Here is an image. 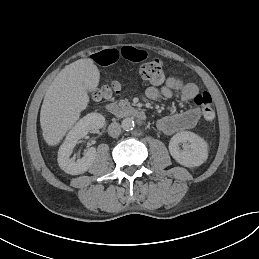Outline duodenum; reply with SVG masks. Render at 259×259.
Masks as SVG:
<instances>
[{"instance_id":"1","label":"duodenum","mask_w":259,"mask_h":259,"mask_svg":"<svg viewBox=\"0 0 259 259\" xmlns=\"http://www.w3.org/2000/svg\"><path fill=\"white\" fill-rule=\"evenodd\" d=\"M106 109L110 114L119 118L130 117L141 122L146 119V115L142 110L124 103L110 102L106 105Z\"/></svg>"}]
</instances>
